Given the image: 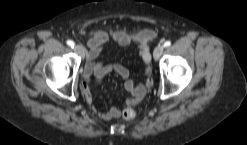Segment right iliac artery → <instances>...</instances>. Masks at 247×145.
I'll return each mask as SVG.
<instances>
[{
  "instance_id": "82829eb1",
  "label": "right iliac artery",
  "mask_w": 247,
  "mask_h": 145,
  "mask_svg": "<svg viewBox=\"0 0 247 145\" xmlns=\"http://www.w3.org/2000/svg\"><path fill=\"white\" fill-rule=\"evenodd\" d=\"M67 45H69L70 47H72V48H73L75 44H74V42H73V41L68 40V41H67Z\"/></svg>"
}]
</instances>
